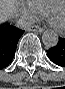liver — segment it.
I'll return each mask as SVG.
<instances>
[{
  "label": "liver",
  "mask_w": 65,
  "mask_h": 89,
  "mask_svg": "<svg viewBox=\"0 0 65 89\" xmlns=\"http://www.w3.org/2000/svg\"><path fill=\"white\" fill-rule=\"evenodd\" d=\"M15 6L12 0H0V21L5 22L14 17Z\"/></svg>",
  "instance_id": "1"
}]
</instances>
